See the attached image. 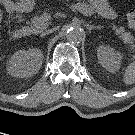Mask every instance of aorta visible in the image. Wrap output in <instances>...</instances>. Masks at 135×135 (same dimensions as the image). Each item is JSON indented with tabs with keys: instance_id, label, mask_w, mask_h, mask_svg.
I'll return each instance as SVG.
<instances>
[{
	"instance_id": "obj_1",
	"label": "aorta",
	"mask_w": 135,
	"mask_h": 135,
	"mask_svg": "<svg viewBox=\"0 0 135 135\" xmlns=\"http://www.w3.org/2000/svg\"><path fill=\"white\" fill-rule=\"evenodd\" d=\"M66 38L70 42H80L84 38L83 30L78 26H69L66 29Z\"/></svg>"
}]
</instances>
